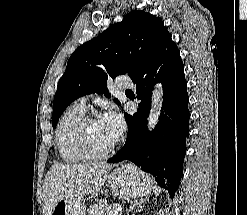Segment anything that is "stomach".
I'll list each match as a JSON object with an SVG mask.
<instances>
[{"label":"stomach","instance_id":"1","mask_svg":"<svg viewBox=\"0 0 247 215\" xmlns=\"http://www.w3.org/2000/svg\"><path fill=\"white\" fill-rule=\"evenodd\" d=\"M108 184L121 199L147 196L151 192V182L132 165L115 169L108 176ZM86 207L82 198H63L55 205L51 215H85Z\"/></svg>","mask_w":247,"mask_h":215}]
</instances>
